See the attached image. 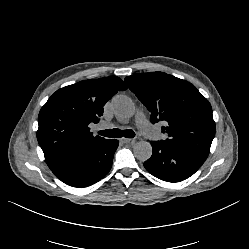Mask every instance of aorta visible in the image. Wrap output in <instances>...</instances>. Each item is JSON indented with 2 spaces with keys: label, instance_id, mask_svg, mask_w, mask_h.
Masks as SVG:
<instances>
[{
  "label": "aorta",
  "instance_id": "aorta-1",
  "mask_svg": "<svg viewBox=\"0 0 249 249\" xmlns=\"http://www.w3.org/2000/svg\"><path fill=\"white\" fill-rule=\"evenodd\" d=\"M112 109L121 119L130 118L135 113L133 101L126 95H116L112 99ZM134 156L140 161H147L152 155V146L147 141H139L133 148Z\"/></svg>",
  "mask_w": 249,
  "mask_h": 249
}]
</instances>
